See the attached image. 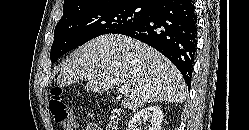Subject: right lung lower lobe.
<instances>
[{
    "mask_svg": "<svg viewBox=\"0 0 249 130\" xmlns=\"http://www.w3.org/2000/svg\"><path fill=\"white\" fill-rule=\"evenodd\" d=\"M195 10L192 0H160L144 20L119 34L138 39L164 54L189 86L197 44Z\"/></svg>",
    "mask_w": 249,
    "mask_h": 130,
    "instance_id": "obj_1",
    "label": "right lung lower lobe"
}]
</instances>
